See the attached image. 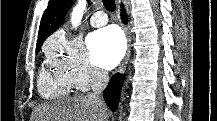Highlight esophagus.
<instances>
[{"instance_id": "34e87169", "label": "esophagus", "mask_w": 217, "mask_h": 121, "mask_svg": "<svg viewBox=\"0 0 217 121\" xmlns=\"http://www.w3.org/2000/svg\"><path fill=\"white\" fill-rule=\"evenodd\" d=\"M116 2L118 5V9H120V0H116ZM124 32L126 35L127 49H126L125 57L117 69V73H123L125 71L131 53V34L128 26H124Z\"/></svg>"}]
</instances>
